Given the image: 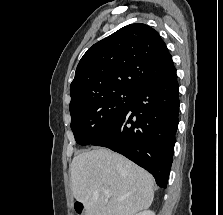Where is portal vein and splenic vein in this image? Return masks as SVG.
Returning a JSON list of instances; mask_svg holds the SVG:
<instances>
[{
    "instance_id": "1",
    "label": "portal vein and splenic vein",
    "mask_w": 223,
    "mask_h": 215,
    "mask_svg": "<svg viewBox=\"0 0 223 215\" xmlns=\"http://www.w3.org/2000/svg\"><path fill=\"white\" fill-rule=\"evenodd\" d=\"M105 193H107V197H109V195H108V193H109L108 189H105ZM116 199H124V197H116Z\"/></svg>"
}]
</instances>
